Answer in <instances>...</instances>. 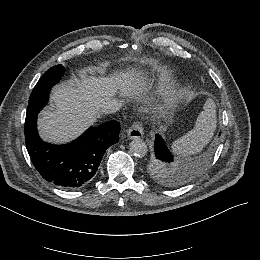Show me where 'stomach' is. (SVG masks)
<instances>
[{"instance_id":"stomach-1","label":"stomach","mask_w":260,"mask_h":260,"mask_svg":"<svg viewBox=\"0 0 260 260\" xmlns=\"http://www.w3.org/2000/svg\"><path fill=\"white\" fill-rule=\"evenodd\" d=\"M169 115H170V117H169V118L171 119V118H172V116H171V114H169Z\"/></svg>"}]
</instances>
